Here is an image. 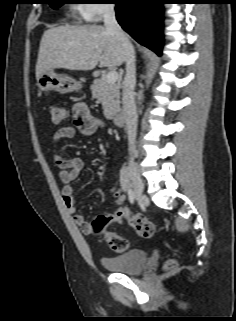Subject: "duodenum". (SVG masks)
<instances>
[{
  "mask_svg": "<svg viewBox=\"0 0 236 321\" xmlns=\"http://www.w3.org/2000/svg\"><path fill=\"white\" fill-rule=\"evenodd\" d=\"M111 119H112V122L118 127H120L124 124V115L122 112L114 113L112 115Z\"/></svg>",
  "mask_w": 236,
  "mask_h": 321,
  "instance_id": "410a0bca",
  "label": "duodenum"
}]
</instances>
